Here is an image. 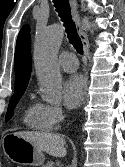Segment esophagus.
<instances>
[{"label": "esophagus", "mask_w": 125, "mask_h": 167, "mask_svg": "<svg viewBox=\"0 0 125 167\" xmlns=\"http://www.w3.org/2000/svg\"><path fill=\"white\" fill-rule=\"evenodd\" d=\"M69 1H70L72 12H73V15H74V18H75L77 32H78L79 37H80V39L82 41L85 58L87 60L89 58V54H90V45H89V41H88L87 35L85 34V32H84V30H83V28L81 26L79 13H78L77 1L76 0H69ZM85 72L87 74L88 70L86 69Z\"/></svg>", "instance_id": "1"}]
</instances>
